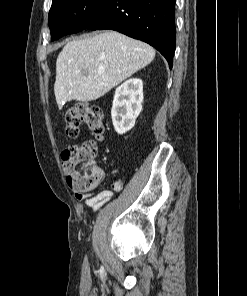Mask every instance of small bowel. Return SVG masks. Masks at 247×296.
Here are the masks:
<instances>
[{
  "label": "small bowel",
  "instance_id": "small-bowel-1",
  "mask_svg": "<svg viewBox=\"0 0 247 296\" xmlns=\"http://www.w3.org/2000/svg\"><path fill=\"white\" fill-rule=\"evenodd\" d=\"M123 185H124V182L122 178L117 177L112 183V190L103 189L98 193L77 192L75 194V198L78 201H84L85 205L88 208L92 209L93 211H97L112 198L113 191H116V192L121 191L123 188Z\"/></svg>",
  "mask_w": 247,
  "mask_h": 296
}]
</instances>
